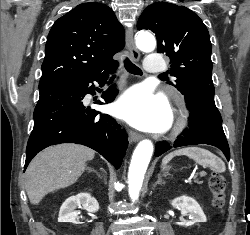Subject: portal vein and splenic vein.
Returning a JSON list of instances; mask_svg holds the SVG:
<instances>
[{
    "mask_svg": "<svg viewBox=\"0 0 250 235\" xmlns=\"http://www.w3.org/2000/svg\"><path fill=\"white\" fill-rule=\"evenodd\" d=\"M193 177H194V175H192V176L189 178V180H191Z\"/></svg>",
    "mask_w": 250,
    "mask_h": 235,
    "instance_id": "18ae733b",
    "label": "portal vein and splenic vein"
}]
</instances>
